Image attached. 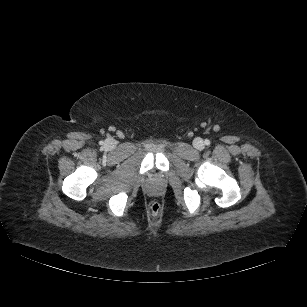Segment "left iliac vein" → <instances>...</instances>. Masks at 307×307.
I'll return each mask as SVG.
<instances>
[{"mask_svg": "<svg viewBox=\"0 0 307 307\" xmlns=\"http://www.w3.org/2000/svg\"><path fill=\"white\" fill-rule=\"evenodd\" d=\"M193 145L196 149H199V150L204 148V142L201 138L194 139Z\"/></svg>", "mask_w": 307, "mask_h": 307, "instance_id": "4c4485c4", "label": "left iliac vein"}]
</instances>
